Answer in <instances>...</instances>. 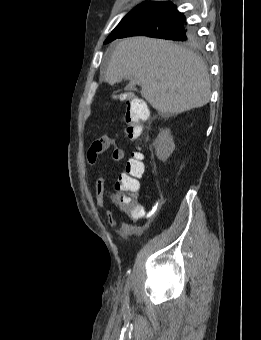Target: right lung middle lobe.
<instances>
[{"label": "right lung middle lobe", "mask_w": 261, "mask_h": 340, "mask_svg": "<svg viewBox=\"0 0 261 340\" xmlns=\"http://www.w3.org/2000/svg\"><path fill=\"white\" fill-rule=\"evenodd\" d=\"M158 5L159 3H144L137 6L121 20V22L106 39L105 43H109L118 38L123 32H125L128 28H130L139 19L156 8ZM171 40L181 41L192 46H197L199 44L196 31L192 27L187 28L181 33L174 34Z\"/></svg>", "instance_id": "obj_1"}]
</instances>
